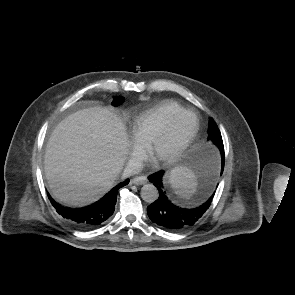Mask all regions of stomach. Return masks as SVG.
Returning <instances> with one entry per match:
<instances>
[{"label":"stomach","instance_id":"stomach-1","mask_svg":"<svg viewBox=\"0 0 295 295\" xmlns=\"http://www.w3.org/2000/svg\"><path fill=\"white\" fill-rule=\"evenodd\" d=\"M201 152L202 150L199 147L192 148L190 151V158L187 163V166L189 167L196 166L201 161L200 159Z\"/></svg>","mask_w":295,"mask_h":295}]
</instances>
